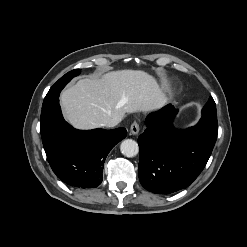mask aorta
I'll list each match as a JSON object with an SVG mask.
<instances>
[{"mask_svg": "<svg viewBox=\"0 0 247 247\" xmlns=\"http://www.w3.org/2000/svg\"><path fill=\"white\" fill-rule=\"evenodd\" d=\"M121 153L126 157H134L139 152V146L136 141L132 139H126L121 143Z\"/></svg>", "mask_w": 247, "mask_h": 247, "instance_id": "aorta-1", "label": "aorta"}]
</instances>
